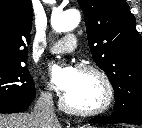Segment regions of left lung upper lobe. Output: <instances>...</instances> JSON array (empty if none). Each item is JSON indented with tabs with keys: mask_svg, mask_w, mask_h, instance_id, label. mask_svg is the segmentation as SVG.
I'll use <instances>...</instances> for the list:
<instances>
[{
	"mask_svg": "<svg viewBox=\"0 0 142 128\" xmlns=\"http://www.w3.org/2000/svg\"><path fill=\"white\" fill-rule=\"evenodd\" d=\"M96 64L114 90L112 115L142 113V41L124 0H78Z\"/></svg>",
	"mask_w": 142,
	"mask_h": 128,
	"instance_id": "1",
	"label": "left lung upper lobe"
}]
</instances>
